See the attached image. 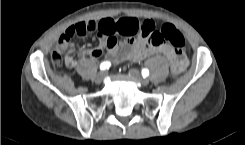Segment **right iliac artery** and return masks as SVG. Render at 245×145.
Instances as JSON below:
<instances>
[{
  "label": "right iliac artery",
  "instance_id": "right-iliac-artery-1",
  "mask_svg": "<svg viewBox=\"0 0 245 145\" xmlns=\"http://www.w3.org/2000/svg\"><path fill=\"white\" fill-rule=\"evenodd\" d=\"M110 65H111V63L108 62V61L102 62L101 65H100V69L101 70L109 69Z\"/></svg>",
  "mask_w": 245,
  "mask_h": 145
}]
</instances>
